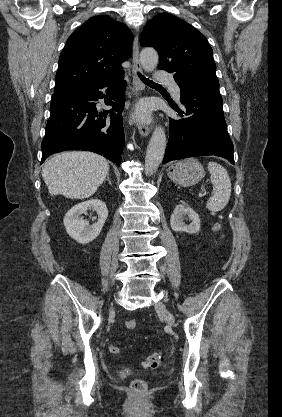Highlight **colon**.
<instances>
[{"label": "colon", "instance_id": "obj_1", "mask_svg": "<svg viewBox=\"0 0 282 417\" xmlns=\"http://www.w3.org/2000/svg\"><path fill=\"white\" fill-rule=\"evenodd\" d=\"M215 232H219L217 228ZM125 327L128 330L137 329V321L135 319H128L125 321ZM109 352L112 355H118L121 352V346L118 343H113L109 346ZM162 356L159 352L149 353L144 360V367L149 369H156L161 363ZM131 401L132 403H147V393L150 392V385L147 384L146 379H131Z\"/></svg>", "mask_w": 282, "mask_h": 417}]
</instances>
